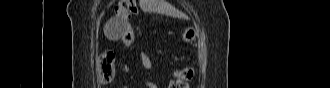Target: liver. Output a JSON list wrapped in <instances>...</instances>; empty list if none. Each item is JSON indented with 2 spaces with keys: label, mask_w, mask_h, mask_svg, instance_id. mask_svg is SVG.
Masks as SVG:
<instances>
[{
  "label": "liver",
  "mask_w": 330,
  "mask_h": 88,
  "mask_svg": "<svg viewBox=\"0 0 330 88\" xmlns=\"http://www.w3.org/2000/svg\"><path fill=\"white\" fill-rule=\"evenodd\" d=\"M154 3L151 0H140L139 5L143 10L147 11H156V8H154Z\"/></svg>",
  "instance_id": "liver-1"
}]
</instances>
